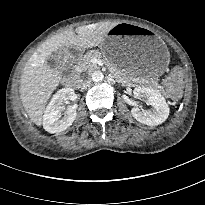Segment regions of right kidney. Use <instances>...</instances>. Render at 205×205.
<instances>
[{
	"mask_svg": "<svg viewBox=\"0 0 205 205\" xmlns=\"http://www.w3.org/2000/svg\"><path fill=\"white\" fill-rule=\"evenodd\" d=\"M74 90L62 88L53 95L43 115V128L49 133H60L72 125L77 116L76 106H70L61 118V111L65 109L63 104L72 100Z\"/></svg>",
	"mask_w": 205,
	"mask_h": 205,
	"instance_id": "ca27d5eb",
	"label": "right kidney"
}]
</instances>
